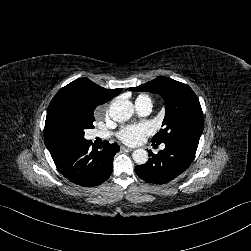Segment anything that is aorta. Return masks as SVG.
I'll return each mask as SVG.
<instances>
[{
    "instance_id": "obj_1",
    "label": "aorta",
    "mask_w": 251,
    "mask_h": 251,
    "mask_svg": "<svg viewBox=\"0 0 251 251\" xmlns=\"http://www.w3.org/2000/svg\"><path fill=\"white\" fill-rule=\"evenodd\" d=\"M134 113L133 103L129 100H115L109 108V116L116 122H125L129 120ZM133 160L139 164H145L148 160V153L144 149H136L132 153Z\"/></svg>"
}]
</instances>
